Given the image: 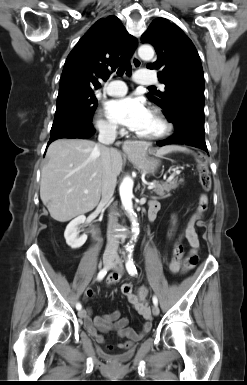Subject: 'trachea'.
Returning <instances> with one entry per match:
<instances>
[{
	"label": "trachea",
	"mask_w": 247,
	"mask_h": 385,
	"mask_svg": "<svg viewBox=\"0 0 247 385\" xmlns=\"http://www.w3.org/2000/svg\"><path fill=\"white\" fill-rule=\"evenodd\" d=\"M124 72H126V75L130 76L131 73H132V67L130 65L129 62H124L119 68H118V71H117V74L119 76L123 75Z\"/></svg>",
	"instance_id": "obj_1"
}]
</instances>
